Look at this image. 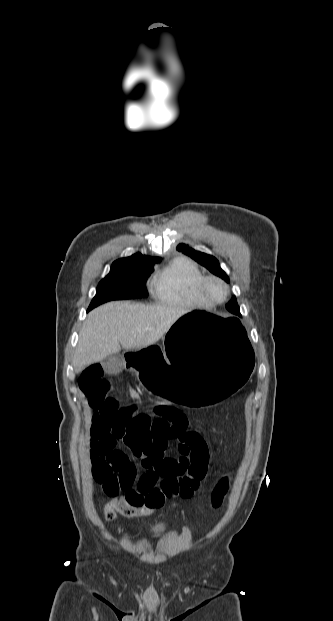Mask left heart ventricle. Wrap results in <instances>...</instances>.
Wrapping results in <instances>:
<instances>
[{"label":"left heart ventricle","mask_w":333,"mask_h":621,"mask_svg":"<svg viewBox=\"0 0 333 621\" xmlns=\"http://www.w3.org/2000/svg\"><path fill=\"white\" fill-rule=\"evenodd\" d=\"M209 292L211 293V295H213L214 297H221L223 295L224 289L221 286V284L217 283V282H211L209 284Z\"/></svg>","instance_id":"b2bd125f"}]
</instances>
